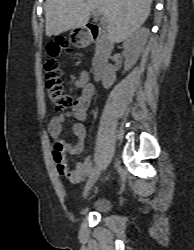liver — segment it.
Segmentation results:
<instances>
[{"label":"liver","mask_w":194,"mask_h":250,"mask_svg":"<svg viewBox=\"0 0 194 250\" xmlns=\"http://www.w3.org/2000/svg\"><path fill=\"white\" fill-rule=\"evenodd\" d=\"M153 0H47L46 35H59L86 26L92 12L107 20L108 38L120 43L140 28L150 14Z\"/></svg>","instance_id":"6515ba94"}]
</instances>
